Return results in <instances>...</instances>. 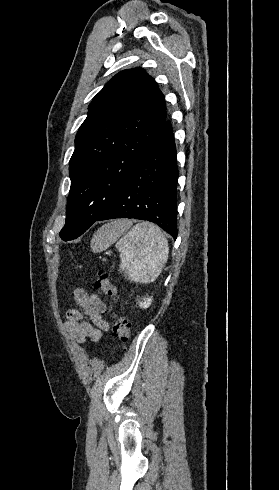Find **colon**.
Listing matches in <instances>:
<instances>
[{"label": "colon", "mask_w": 279, "mask_h": 490, "mask_svg": "<svg viewBox=\"0 0 279 490\" xmlns=\"http://www.w3.org/2000/svg\"><path fill=\"white\" fill-rule=\"evenodd\" d=\"M94 288L106 297H117V289L112 282L109 274L100 272L94 277ZM113 336L122 343L129 340L130 337V322L125 318H119L113 325Z\"/></svg>", "instance_id": "colon-1"}]
</instances>
